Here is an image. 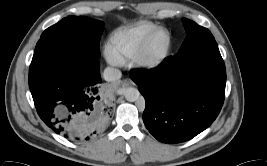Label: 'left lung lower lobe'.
<instances>
[{
	"instance_id": "left-lung-lower-lobe-1",
	"label": "left lung lower lobe",
	"mask_w": 267,
	"mask_h": 166,
	"mask_svg": "<svg viewBox=\"0 0 267 166\" xmlns=\"http://www.w3.org/2000/svg\"><path fill=\"white\" fill-rule=\"evenodd\" d=\"M130 77L146 101V128L164 143L192 139L213 123L223 105L226 70L214 39L144 73L132 70Z\"/></svg>"
}]
</instances>
